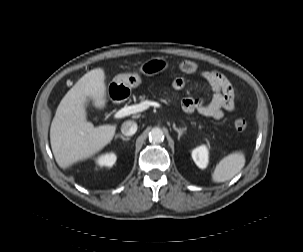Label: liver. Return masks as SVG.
<instances>
[{"label": "liver", "mask_w": 303, "mask_h": 252, "mask_svg": "<svg viewBox=\"0 0 303 252\" xmlns=\"http://www.w3.org/2000/svg\"><path fill=\"white\" fill-rule=\"evenodd\" d=\"M105 72L96 68L83 75L61 100L50 128V142L57 164L69 168L100 152L114 137L116 125L94 127L87 120L91 99L97 109L106 103Z\"/></svg>", "instance_id": "liver-1"}]
</instances>
